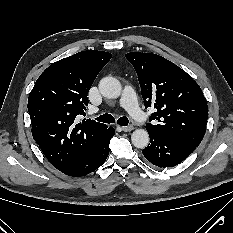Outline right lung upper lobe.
Wrapping results in <instances>:
<instances>
[{
    "label": "right lung upper lobe",
    "mask_w": 233,
    "mask_h": 233,
    "mask_svg": "<svg viewBox=\"0 0 233 233\" xmlns=\"http://www.w3.org/2000/svg\"><path fill=\"white\" fill-rule=\"evenodd\" d=\"M112 55L81 51L50 65L37 79L28 98L32 136L57 169L91 153L110 131L107 125L85 115L87 94Z\"/></svg>",
    "instance_id": "1"
}]
</instances>
